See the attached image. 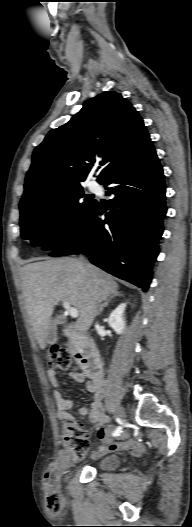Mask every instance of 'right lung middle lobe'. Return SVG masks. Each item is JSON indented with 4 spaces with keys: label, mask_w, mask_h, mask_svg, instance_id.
<instances>
[{
    "label": "right lung middle lobe",
    "mask_w": 192,
    "mask_h": 527,
    "mask_svg": "<svg viewBox=\"0 0 192 527\" xmlns=\"http://www.w3.org/2000/svg\"><path fill=\"white\" fill-rule=\"evenodd\" d=\"M84 196L78 187L47 201L20 206L22 237L44 250L61 246L83 226L96 204L95 200L83 201Z\"/></svg>",
    "instance_id": "right-lung-middle-lobe-1"
}]
</instances>
